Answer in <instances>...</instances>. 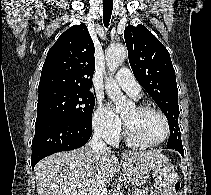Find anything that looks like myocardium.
<instances>
[{"mask_svg":"<svg viewBox=\"0 0 211 195\" xmlns=\"http://www.w3.org/2000/svg\"><path fill=\"white\" fill-rule=\"evenodd\" d=\"M136 109L139 111H142V112L152 111V112L159 114L162 117L164 124H165V134H164L163 138L157 142H151V143L143 142L133 134L128 123L123 118L124 134H125L127 140L131 144L138 146V147H155V146H158V145L162 144L163 142H165L170 134V124H169V120H168L167 116L165 115V113L162 110H160L159 108L149 106V105H142V104L137 105Z\"/></svg>","mask_w":211,"mask_h":195,"instance_id":"f54148a6","label":"myocardium"}]
</instances>
